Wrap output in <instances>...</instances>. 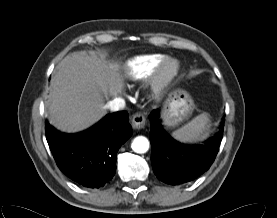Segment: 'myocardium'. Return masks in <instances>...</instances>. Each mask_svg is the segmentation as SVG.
I'll return each instance as SVG.
<instances>
[{"instance_id": "obj_1", "label": "myocardium", "mask_w": 277, "mask_h": 218, "mask_svg": "<svg viewBox=\"0 0 277 218\" xmlns=\"http://www.w3.org/2000/svg\"><path fill=\"white\" fill-rule=\"evenodd\" d=\"M179 70V62L174 58L168 57L159 63L149 80L152 95L155 97L161 96L177 77Z\"/></svg>"}]
</instances>
